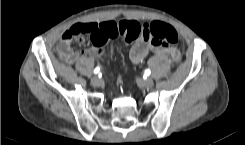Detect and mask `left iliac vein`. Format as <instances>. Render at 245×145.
<instances>
[{
	"label": "left iliac vein",
	"instance_id": "left-iliac-vein-1",
	"mask_svg": "<svg viewBox=\"0 0 245 145\" xmlns=\"http://www.w3.org/2000/svg\"><path fill=\"white\" fill-rule=\"evenodd\" d=\"M154 85V82L152 79L148 78L146 80H143L142 81V86L145 87V88H150Z\"/></svg>",
	"mask_w": 245,
	"mask_h": 145
}]
</instances>
